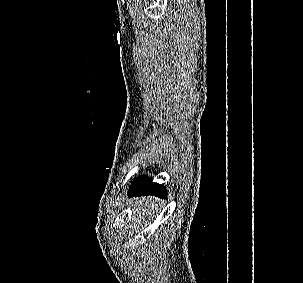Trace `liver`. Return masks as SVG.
Masks as SVG:
<instances>
[{
    "mask_svg": "<svg viewBox=\"0 0 303 283\" xmlns=\"http://www.w3.org/2000/svg\"><path fill=\"white\" fill-rule=\"evenodd\" d=\"M160 200L153 199L152 197H144L142 199H134L133 211L131 218L138 221V219L145 220L146 217L150 216L152 211L158 207ZM137 214V217H136Z\"/></svg>",
    "mask_w": 303,
    "mask_h": 283,
    "instance_id": "1",
    "label": "liver"
}]
</instances>
